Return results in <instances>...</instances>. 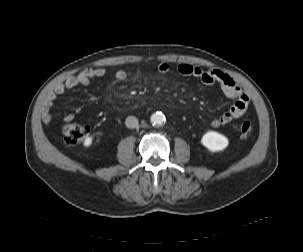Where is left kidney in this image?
I'll list each match as a JSON object with an SVG mask.
<instances>
[{"instance_id":"1","label":"left kidney","mask_w":303,"mask_h":252,"mask_svg":"<svg viewBox=\"0 0 303 252\" xmlns=\"http://www.w3.org/2000/svg\"><path fill=\"white\" fill-rule=\"evenodd\" d=\"M201 143L211 152H217L225 149L229 141L228 139L215 131H209L202 136Z\"/></svg>"}]
</instances>
